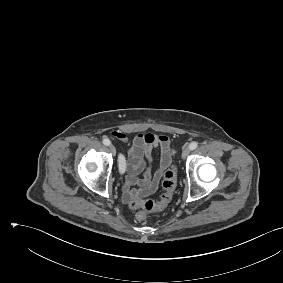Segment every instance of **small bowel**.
<instances>
[{
    "instance_id": "obj_1",
    "label": "small bowel",
    "mask_w": 283,
    "mask_h": 283,
    "mask_svg": "<svg viewBox=\"0 0 283 283\" xmlns=\"http://www.w3.org/2000/svg\"><path fill=\"white\" fill-rule=\"evenodd\" d=\"M112 136L123 143H127V136L120 132H112ZM153 147L160 150L158 166L154 173L151 172ZM172 161V150L170 139L166 135H156L152 133L138 134L134 137L128 148L127 172L123 195L129 201L134 198H144L152 194L158 187L165 170ZM143 172V178L138 175ZM137 186V188H132Z\"/></svg>"
}]
</instances>
